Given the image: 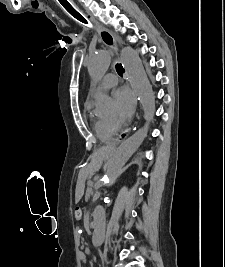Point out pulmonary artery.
Listing matches in <instances>:
<instances>
[{
	"mask_svg": "<svg viewBox=\"0 0 225 267\" xmlns=\"http://www.w3.org/2000/svg\"><path fill=\"white\" fill-rule=\"evenodd\" d=\"M117 81H118V79H117L116 75H114L112 73L107 74L103 78L100 85L92 91L93 95H96L99 91L108 90V89L114 87L117 84Z\"/></svg>",
	"mask_w": 225,
	"mask_h": 267,
	"instance_id": "pulmonary-artery-1",
	"label": "pulmonary artery"
}]
</instances>
